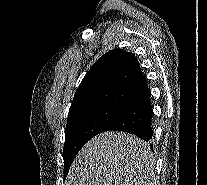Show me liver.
Masks as SVG:
<instances>
[{"label":"liver","instance_id":"1","mask_svg":"<svg viewBox=\"0 0 207 185\" xmlns=\"http://www.w3.org/2000/svg\"><path fill=\"white\" fill-rule=\"evenodd\" d=\"M154 163L142 139L122 131H105L79 151L65 185H150Z\"/></svg>","mask_w":207,"mask_h":185}]
</instances>
